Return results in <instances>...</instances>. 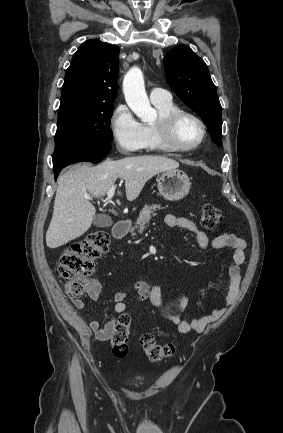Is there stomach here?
<instances>
[{"label":"stomach","mask_w":283,"mask_h":433,"mask_svg":"<svg viewBox=\"0 0 283 433\" xmlns=\"http://www.w3.org/2000/svg\"><path fill=\"white\" fill-rule=\"evenodd\" d=\"M190 178L183 170H165L158 178L157 186L166 200H181L190 190Z\"/></svg>","instance_id":"stomach-1"}]
</instances>
